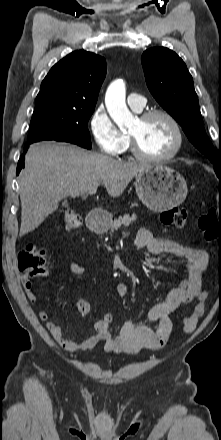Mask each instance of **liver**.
I'll return each mask as SVG.
<instances>
[{
    "label": "liver",
    "mask_w": 221,
    "mask_h": 440,
    "mask_svg": "<svg viewBox=\"0 0 221 440\" xmlns=\"http://www.w3.org/2000/svg\"><path fill=\"white\" fill-rule=\"evenodd\" d=\"M123 162L73 145L40 142L30 146L19 175L20 236L35 230L55 212L61 199L79 197L102 183L111 197H119L138 173L149 167Z\"/></svg>",
    "instance_id": "liver-1"
}]
</instances>
